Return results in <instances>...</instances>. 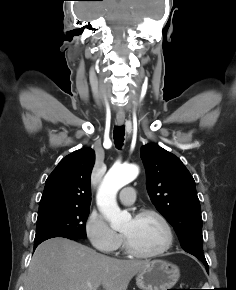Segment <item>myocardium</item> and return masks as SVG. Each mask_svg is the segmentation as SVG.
Instances as JSON below:
<instances>
[{"label":"myocardium","mask_w":236,"mask_h":290,"mask_svg":"<svg viewBox=\"0 0 236 290\" xmlns=\"http://www.w3.org/2000/svg\"><path fill=\"white\" fill-rule=\"evenodd\" d=\"M145 216L155 217L163 226L165 233H166V241H165L164 245L160 249H158L154 252H141V251H138L137 249H135L131 245V243L129 242L127 237L125 235H123L124 247H125L127 253L133 257L141 258V259H153V258H157V257L162 256L172 247L173 241H174V234H173V230H172V227H171L169 221L166 219V217L161 212H159L155 209L146 208V209H142V210L138 211L135 214L134 218H141V217H145Z\"/></svg>","instance_id":"obj_1"}]
</instances>
